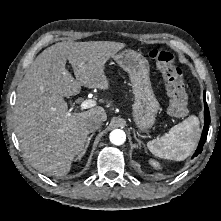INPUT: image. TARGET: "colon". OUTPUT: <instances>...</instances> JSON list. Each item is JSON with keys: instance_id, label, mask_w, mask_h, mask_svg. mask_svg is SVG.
Segmentation results:
<instances>
[{"instance_id": "colon-1", "label": "colon", "mask_w": 221, "mask_h": 221, "mask_svg": "<svg viewBox=\"0 0 221 221\" xmlns=\"http://www.w3.org/2000/svg\"><path fill=\"white\" fill-rule=\"evenodd\" d=\"M148 56L161 72L167 94L170 97L169 112L173 116L182 117L188 112V96L182 71L175 65L173 55L162 49H152Z\"/></svg>"}]
</instances>
